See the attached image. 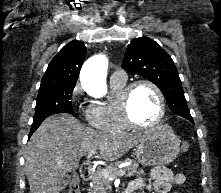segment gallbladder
I'll return each mask as SVG.
<instances>
[{"label":"gallbladder","instance_id":"1","mask_svg":"<svg viewBox=\"0 0 221 193\" xmlns=\"http://www.w3.org/2000/svg\"><path fill=\"white\" fill-rule=\"evenodd\" d=\"M69 180H70V176L66 175L64 176L60 183H59V186L61 187V190H63L69 183Z\"/></svg>","mask_w":221,"mask_h":193}]
</instances>
